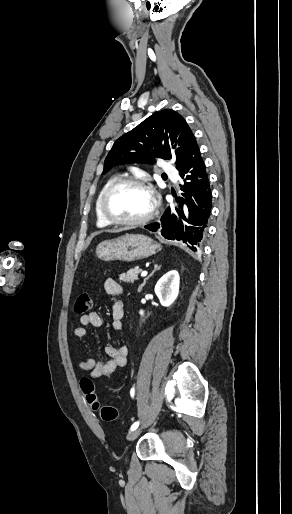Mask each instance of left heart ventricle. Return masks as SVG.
<instances>
[{
  "label": "left heart ventricle",
  "instance_id": "b2bd125f",
  "mask_svg": "<svg viewBox=\"0 0 292 514\" xmlns=\"http://www.w3.org/2000/svg\"><path fill=\"white\" fill-rule=\"evenodd\" d=\"M151 207V196L134 185L121 186L107 197L106 208L115 218L133 220L143 217Z\"/></svg>",
  "mask_w": 292,
  "mask_h": 514
}]
</instances>
